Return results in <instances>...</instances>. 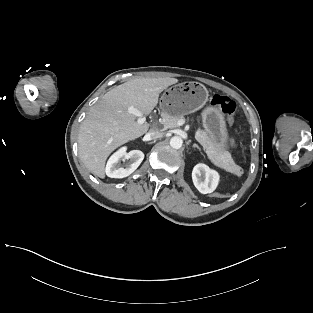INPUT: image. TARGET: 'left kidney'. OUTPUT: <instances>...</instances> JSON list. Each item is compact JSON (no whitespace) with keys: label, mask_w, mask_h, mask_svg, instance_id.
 Returning <instances> with one entry per match:
<instances>
[{"label":"left kidney","mask_w":313,"mask_h":313,"mask_svg":"<svg viewBox=\"0 0 313 313\" xmlns=\"http://www.w3.org/2000/svg\"><path fill=\"white\" fill-rule=\"evenodd\" d=\"M192 180L202 194L212 193L218 185L219 174L207 165L200 163L193 168Z\"/></svg>","instance_id":"obj_1"}]
</instances>
